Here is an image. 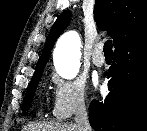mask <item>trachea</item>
Masks as SVG:
<instances>
[{
  "label": "trachea",
  "mask_w": 147,
  "mask_h": 131,
  "mask_svg": "<svg viewBox=\"0 0 147 131\" xmlns=\"http://www.w3.org/2000/svg\"><path fill=\"white\" fill-rule=\"evenodd\" d=\"M104 53L105 54H112V40H107L104 44Z\"/></svg>",
  "instance_id": "obj_1"
}]
</instances>
